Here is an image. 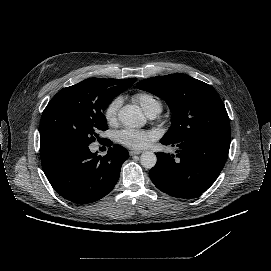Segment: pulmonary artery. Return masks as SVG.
I'll list each match as a JSON object with an SVG mask.
<instances>
[{"mask_svg": "<svg viewBox=\"0 0 271 271\" xmlns=\"http://www.w3.org/2000/svg\"><path fill=\"white\" fill-rule=\"evenodd\" d=\"M147 115H148L149 117H153V116H154V115L151 114V113H147Z\"/></svg>", "mask_w": 271, "mask_h": 271, "instance_id": "obj_1", "label": "pulmonary artery"}]
</instances>
